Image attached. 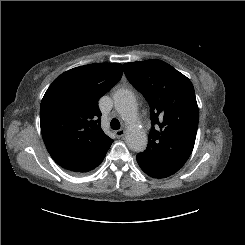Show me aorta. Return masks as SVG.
Listing matches in <instances>:
<instances>
[{"mask_svg":"<svg viewBox=\"0 0 245 245\" xmlns=\"http://www.w3.org/2000/svg\"><path fill=\"white\" fill-rule=\"evenodd\" d=\"M114 104L117 112L128 124L126 143L135 152H142L147 147V135L137 125V102L134 94L127 89H120L114 94Z\"/></svg>","mask_w":245,"mask_h":245,"instance_id":"aorta-1","label":"aorta"}]
</instances>
